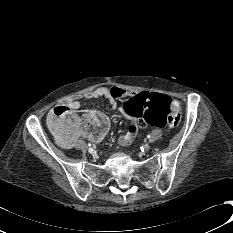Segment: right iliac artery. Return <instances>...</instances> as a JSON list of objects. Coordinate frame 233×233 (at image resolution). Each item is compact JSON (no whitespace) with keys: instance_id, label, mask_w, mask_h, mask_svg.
Listing matches in <instances>:
<instances>
[{"instance_id":"obj_1","label":"right iliac artery","mask_w":233,"mask_h":233,"mask_svg":"<svg viewBox=\"0 0 233 233\" xmlns=\"http://www.w3.org/2000/svg\"><path fill=\"white\" fill-rule=\"evenodd\" d=\"M88 146L91 147V144L89 143ZM89 149H90V150H93L92 148H89Z\"/></svg>"}]
</instances>
